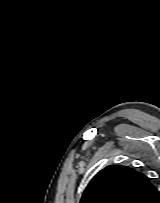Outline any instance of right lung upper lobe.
Returning <instances> with one entry per match:
<instances>
[{"mask_svg":"<svg viewBox=\"0 0 160 203\" xmlns=\"http://www.w3.org/2000/svg\"><path fill=\"white\" fill-rule=\"evenodd\" d=\"M157 196V189L143 173L110 165L91 180L80 203H155Z\"/></svg>","mask_w":160,"mask_h":203,"instance_id":"cb5924a9","label":"right lung upper lobe"}]
</instances>
